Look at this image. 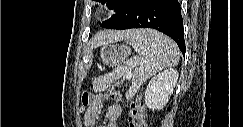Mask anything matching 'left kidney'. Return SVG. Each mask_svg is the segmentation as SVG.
Returning a JSON list of instances; mask_svg holds the SVG:
<instances>
[{"label":"left kidney","mask_w":243,"mask_h":127,"mask_svg":"<svg viewBox=\"0 0 243 127\" xmlns=\"http://www.w3.org/2000/svg\"><path fill=\"white\" fill-rule=\"evenodd\" d=\"M178 80V71L168 69L155 75L145 91V104L149 109L161 110L169 101Z\"/></svg>","instance_id":"obj_1"}]
</instances>
